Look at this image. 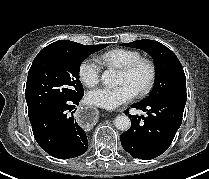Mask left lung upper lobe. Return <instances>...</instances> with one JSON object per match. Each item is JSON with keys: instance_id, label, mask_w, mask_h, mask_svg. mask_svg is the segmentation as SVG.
Returning a JSON list of instances; mask_svg holds the SVG:
<instances>
[{"instance_id": "5c2ea615", "label": "left lung upper lobe", "mask_w": 209, "mask_h": 179, "mask_svg": "<svg viewBox=\"0 0 209 179\" xmlns=\"http://www.w3.org/2000/svg\"><path fill=\"white\" fill-rule=\"evenodd\" d=\"M149 53L156 65V81L150 95L141 102H150L177 93H186V78L176 55L160 42L137 40L122 44Z\"/></svg>"}]
</instances>
